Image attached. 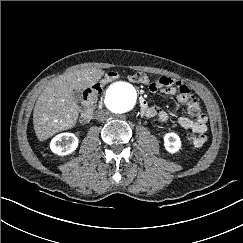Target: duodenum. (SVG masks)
<instances>
[{"label": "duodenum", "instance_id": "1", "mask_svg": "<svg viewBox=\"0 0 243 243\" xmlns=\"http://www.w3.org/2000/svg\"><path fill=\"white\" fill-rule=\"evenodd\" d=\"M139 101H140L141 109L142 110H146L147 109V104H146V101L144 100V98L142 96L139 97Z\"/></svg>", "mask_w": 243, "mask_h": 243}]
</instances>
